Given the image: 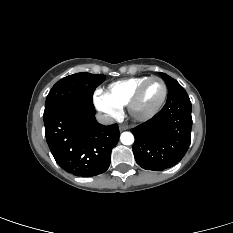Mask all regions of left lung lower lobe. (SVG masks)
<instances>
[{"label":"left lung lower lobe","instance_id":"1","mask_svg":"<svg viewBox=\"0 0 233 233\" xmlns=\"http://www.w3.org/2000/svg\"><path fill=\"white\" fill-rule=\"evenodd\" d=\"M191 102L185 90L167 97L150 120L131 129L136 162L146 170L162 171L177 164L191 141Z\"/></svg>","mask_w":233,"mask_h":233}]
</instances>
